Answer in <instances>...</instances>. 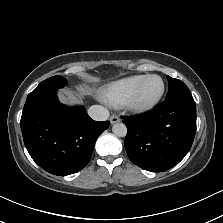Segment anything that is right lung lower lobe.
Here are the masks:
<instances>
[{
  "label": "right lung lower lobe",
  "mask_w": 223,
  "mask_h": 223,
  "mask_svg": "<svg viewBox=\"0 0 223 223\" xmlns=\"http://www.w3.org/2000/svg\"><path fill=\"white\" fill-rule=\"evenodd\" d=\"M57 90L27 98L21 116L24 144L32 159L47 172L65 176L83 169L100 134L110 122L92 120L85 107H68Z\"/></svg>",
  "instance_id": "right-lung-lower-lobe-1"
}]
</instances>
